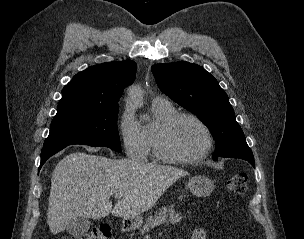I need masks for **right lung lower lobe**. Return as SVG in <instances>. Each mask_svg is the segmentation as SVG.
<instances>
[{"label":"right lung lower lobe","mask_w":304,"mask_h":239,"mask_svg":"<svg viewBox=\"0 0 304 239\" xmlns=\"http://www.w3.org/2000/svg\"><path fill=\"white\" fill-rule=\"evenodd\" d=\"M64 147H56V148H47V149H42L41 152V163H40V168L42 167V165L46 162V160L51 157L52 155H54L55 153L59 152L60 150H62Z\"/></svg>","instance_id":"1"}]
</instances>
